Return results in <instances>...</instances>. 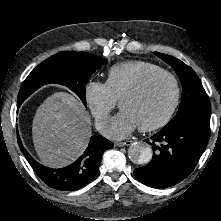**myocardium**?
Instances as JSON below:
<instances>
[{
  "label": "myocardium",
  "mask_w": 221,
  "mask_h": 221,
  "mask_svg": "<svg viewBox=\"0 0 221 221\" xmlns=\"http://www.w3.org/2000/svg\"><path fill=\"white\" fill-rule=\"evenodd\" d=\"M159 77H166L172 82V85L174 88L173 100H172L170 108L161 119L149 125L139 126V130L141 132H151V131L158 130L164 127L172 119L173 115L175 114L178 108L180 97H181V89H180V84L178 82V79L172 73L165 71V70L152 72L144 76L142 79H140L137 83H135L130 88L126 89L118 98V104H119L122 98L127 97V96H134V95L141 93L153 80Z\"/></svg>",
  "instance_id": "1"
}]
</instances>
